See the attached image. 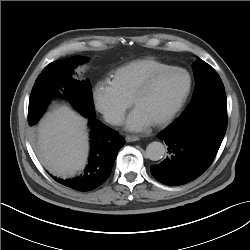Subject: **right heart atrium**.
Returning a JSON list of instances; mask_svg holds the SVG:
<instances>
[{
    "label": "right heart atrium",
    "instance_id": "obj_1",
    "mask_svg": "<svg viewBox=\"0 0 250 250\" xmlns=\"http://www.w3.org/2000/svg\"><path fill=\"white\" fill-rule=\"evenodd\" d=\"M93 104L104 119L112 124L122 123L132 100L118 91L110 80L102 79L92 88Z\"/></svg>",
    "mask_w": 250,
    "mask_h": 250
}]
</instances>
